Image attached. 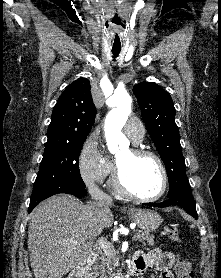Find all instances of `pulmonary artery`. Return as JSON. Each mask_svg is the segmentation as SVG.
Wrapping results in <instances>:
<instances>
[{
	"mask_svg": "<svg viewBox=\"0 0 221 278\" xmlns=\"http://www.w3.org/2000/svg\"><path fill=\"white\" fill-rule=\"evenodd\" d=\"M124 131L134 143H140L144 139L145 129L138 121H127L124 126Z\"/></svg>",
	"mask_w": 221,
	"mask_h": 278,
	"instance_id": "e3ab8cb5",
	"label": "pulmonary artery"
}]
</instances>
